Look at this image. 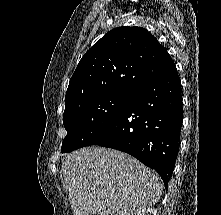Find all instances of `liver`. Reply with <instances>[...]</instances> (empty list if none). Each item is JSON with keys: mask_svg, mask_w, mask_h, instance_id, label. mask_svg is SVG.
<instances>
[{"mask_svg": "<svg viewBox=\"0 0 221 215\" xmlns=\"http://www.w3.org/2000/svg\"><path fill=\"white\" fill-rule=\"evenodd\" d=\"M64 183L73 215H133L161 198L160 176L136 158L88 147L65 155Z\"/></svg>", "mask_w": 221, "mask_h": 215, "instance_id": "obj_1", "label": "liver"}]
</instances>
